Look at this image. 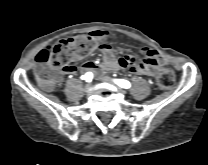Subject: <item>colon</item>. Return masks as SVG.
Here are the masks:
<instances>
[{
	"mask_svg": "<svg viewBox=\"0 0 208 165\" xmlns=\"http://www.w3.org/2000/svg\"><path fill=\"white\" fill-rule=\"evenodd\" d=\"M96 42L90 34L81 35L62 39L53 46L41 50L35 57L34 75L37 82L46 89H52L60 78L62 66L90 55L97 46ZM157 83L162 89L171 88L175 83L174 72L171 69H163L157 76Z\"/></svg>",
	"mask_w": 208,
	"mask_h": 165,
	"instance_id": "obj_1",
	"label": "colon"
}]
</instances>
